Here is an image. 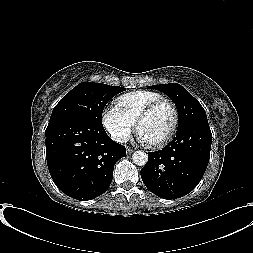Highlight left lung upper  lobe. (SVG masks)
Instances as JSON below:
<instances>
[{
    "label": "left lung upper lobe",
    "instance_id": "obj_1",
    "mask_svg": "<svg viewBox=\"0 0 253 253\" xmlns=\"http://www.w3.org/2000/svg\"><path fill=\"white\" fill-rule=\"evenodd\" d=\"M150 88L166 93L175 103L179 115L178 128L192 121H207L201 104L180 84L153 85Z\"/></svg>",
    "mask_w": 253,
    "mask_h": 253
}]
</instances>
